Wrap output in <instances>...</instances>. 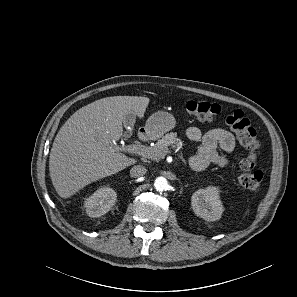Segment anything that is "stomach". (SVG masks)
<instances>
[{
    "mask_svg": "<svg viewBox=\"0 0 297 297\" xmlns=\"http://www.w3.org/2000/svg\"><path fill=\"white\" fill-rule=\"evenodd\" d=\"M175 118L165 111L154 113L146 122L145 129L147 135L152 139L160 138L166 132L175 127Z\"/></svg>",
    "mask_w": 297,
    "mask_h": 297,
    "instance_id": "obj_1",
    "label": "stomach"
}]
</instances>
